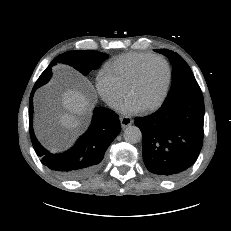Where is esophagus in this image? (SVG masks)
Here are the masks:
<instances>
[{
    "label": "esophagus",
    "instance_id": "esophagus-1",
    "mask_svg": "<svg viewBox=\"0 0 231 231\" xmlns=\"http://www.w3.org/2000/svg\"><path fill=\"white\" fill-rule=\"evenodd\" d=\"M120 123L122 128H126L133 123V120L128 116H123L120 118Z\"/></svg>",
    "mask_w": 231,
    "mask_h": 231
}]
</instances>
